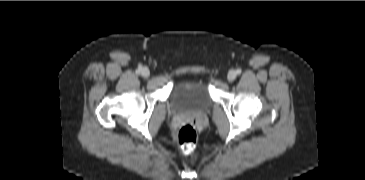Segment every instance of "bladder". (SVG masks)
<instances>
[{"label": "bladder", "mask_w": 365, "mask_h": 180, "mask_svg": "<svg viewBox=\"0 0 365 180\" xmlns=\"http://www.w3.org/2000/svg\"><path fill=\"white\" fill-rule=\"evenodd\" d=\"M212 103L211 92L199 77H191L177 85L170 98L171 107L177 112L198 113L207 110Z\"/></svg>", "instance_id": "bladder-1"}]
</instances>
